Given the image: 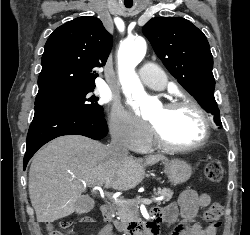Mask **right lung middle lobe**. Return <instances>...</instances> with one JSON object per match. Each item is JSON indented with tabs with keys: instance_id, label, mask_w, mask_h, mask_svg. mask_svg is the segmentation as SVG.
I'll return each instance as SVG.
<instances>
[{
	"instance_id": "right-lung-middle-lobe-1",
	"label": "right lung middle lobe",
	"mask_w": 250,
	"mask_h": 235,
	"mask_svg": "<svg viewBox=\"0 0 250 235\" xmlns=\"http://www.w3.org/2000/svg\"><path fill=\"white\" fill-rule=\"evenodd\" d=\"M95 85L83 89L64 91L38 97L35 100V109L38 107L59 108L82 111L92 116H103V108L92 92Z\"/></svg>"
}]
</instances>
